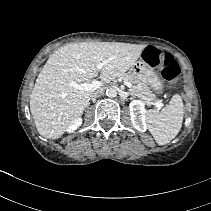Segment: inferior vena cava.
I'll return each mask as SVG.
<instances>
[{
	"mask_svg": "<svg viewBox=\"0 0 211 211\" xmlns=\"http://www.w3.org/2000/svg\"><path fill=\"white\" fill-rule=\"evenodd\" d=\"M103 94H104L103 90H97V91H95L94 93L91 94V98L100 97Z\"/></svg>",
	"mask_w": 211,
	"mask_h": 211,
	"instance_id": "inferior-vena-cava-1",
	"label": "inferior vena cava"
}]
</instances>
